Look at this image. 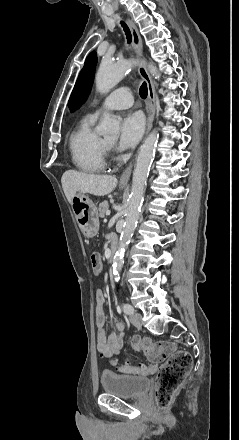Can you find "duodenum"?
Returning a JSON list of instances; mask_svg holds the SVG:
<instances>
[{
  "mask_svg": "<svg viewBox=\"0 0 239 440\" xmlns=\"http://www.w3.org/2000/svg\"><path fill=\"white\" fill-rule=\"evenodd\" d=\"M115 253H116V245H115V243H113L110 247V250H109L108 259L112 260Z\"/></svg>",
  "mask_w": 239,
  "mask_h": 440,
  "instance_id": "410a0bca",
  "label": "duodenum"
}]
</instances>
